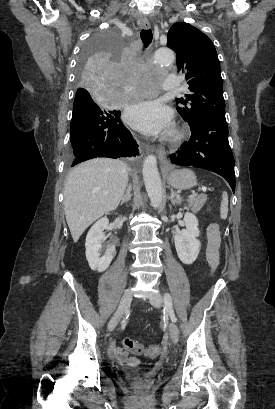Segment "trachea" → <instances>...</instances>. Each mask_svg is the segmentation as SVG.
Returning <instances> with one entry per match:
<instances>
[{"mask_svg":"<svg viewBox=\"0 0 275 409\" xmlns=\"http://www.w3.org/2000/svg\"><path fill=\"white\" fill-rule=\"evenodd\" d=\"M141 39L144 44V48L148 47L152 42L153 34L151 30H141Z\"/></svg>","mask_w":275,"mask_h":409,"instance_id":"trachea-1","label":"trachea"}]
</instances>
